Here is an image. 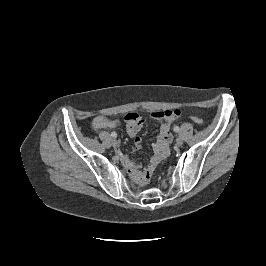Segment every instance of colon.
<instances>
[{
  "label": "colon",
  "instance_id": "colon-1",
  "mask_svg": "<svg viewBox=\"0 0 266 266\" xmlns=\"http://www.w3.org/2000/svg\"><path fill=\"white\" fill-rule=\"evenodd\" d=\"M191 120L193 121V122H195L196 124H199V125H201V124H203V119H201L200 117H198V116H191Z\"/></svg>",
  "mask_w": 266,
  "mask_h": 266
}]
</instances>
